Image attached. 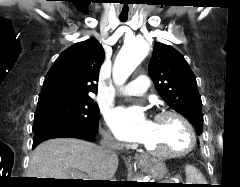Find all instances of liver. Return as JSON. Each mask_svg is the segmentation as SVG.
I'll list each match as a JSON object with an SVG mask.
<instances>
[{
	"instance_id": "1",
	"label": "liver",
	"mask_w": 240,
	"mask_h": 187,
	"mask_svg": "<svg viewBox=\"0 0 240 187\" xmlns=\"http://www.w3.org/2000/svg\"><path fill=\"white\" fill-rule=\"evenodd\" d=\"M118 167L117 155L106 159L99 146L75 138H57L41 143L34 150L27 177L80 179L85 173L88 180H108ZM85 175V176H86Z\"/></svg>"
}]
</instances>
